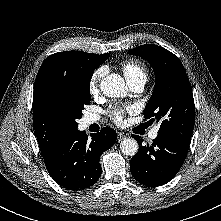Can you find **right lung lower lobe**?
<instances>
[{
	"label": "right lung lower lobe",
	"instance_id": "1",
	"mask_svg": "<svg viewBox=\"0 0 221 221\" xmlns=\"http://www.w3.org/2000/svg\"><path fill=\"white\" fill-rule=\"evenodd\" d=\"M116 137V131L110 127L92 135L91 141L85 131L75 130L43 157L49 174L68 190L92 186L102 172L99 158L115 144Z\"/></svg>",
	"mask_w": 221,
	"mask_h": 221
}]
</instances>
